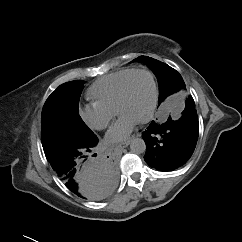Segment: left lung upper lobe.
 Masks as SVG:
<instances>
[{
  "label": "left lung upper lobe",
  "instance_id": "5c2ea615",
  "mask_svg": "<svg viewBox=\"0 0 242 242\" xmlns=\"http://www.w3.org/2000/svg\"><path fill=\"white\" fill-rule=\"evenodd\" d=\"M137 59L145 62L157 77L159 84L158 106L169 95L185 87L181 75L169 65L147 56H140Z\"/></svg>",
  "mask_w": 242,
  "mask_h": 242
}]
</instances>
